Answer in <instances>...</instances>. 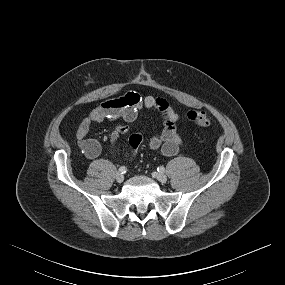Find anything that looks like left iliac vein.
Returning a JSON list of instances; mask_svg holds the SVG:
<instances>
[{
    "instance_id": "obj_1",
    "label": "left iliac vein",
    "mask_w": 285,
    "mask_h": 285,
    "mask_svg": "<svg viewBox=\"0 0 285 285\" xmlns=\"http://www.w3.org/2000/svg\"><path fill=\"white\" fill-rule=\"evenodd\" d=\"M153 177L162 183H165L167 181V176L163 173L154 172Z\"/></svg>"
}]
</instances>
